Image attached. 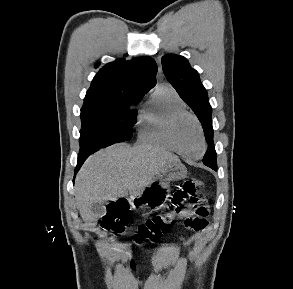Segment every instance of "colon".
<instances>
[{"label":"colon","instance_id":"obj_1","mask_svg":"<svg viewBox=\"0 0 293 289\" xmlns=\"http://www.w3.org/2000/svg\"><path fill=\"white\" fill-rule=\"evenodd\" d=\"M203 187V182L198 180L184 181L172 195L168 210L142 223L134 233L133 241L136 243L154 242L165 236L171 230L175 216L188 207L192 208L198 218L206 219L209 209L201 200L199 192V188ZM128 220L127 205L121 201L115 202L111 204L110 210L101 223V227L112 235L119 234L123 231ZM184 224L192 230H198L201 227L196 218L186 219Z\"/></svg>","mask_w":293,"mask_h":289}]
</instances>
